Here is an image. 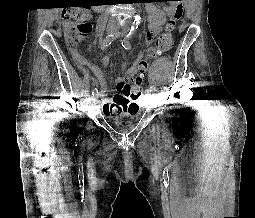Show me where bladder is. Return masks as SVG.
<instances>
[{
    "label": "bladder",
    "instance_id": "obj_1",
    "mask_svg": "<svg viewBox=\"0 0 255 218\" xmlns=\"http://www.w3.org/2000/svg\"><path fill=\"white\" fill-rule=\"evenodd\" d=\"M139 115L136 112H120L107 115V119L117 131L126 132L134 127Z\"/></svg>",
    "mask_w": 255,
    "mask_h": 218
}]
</instances>
